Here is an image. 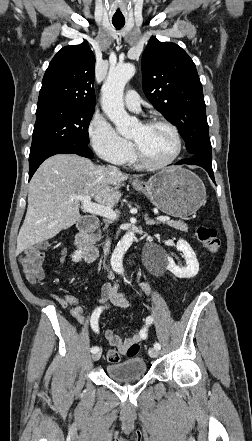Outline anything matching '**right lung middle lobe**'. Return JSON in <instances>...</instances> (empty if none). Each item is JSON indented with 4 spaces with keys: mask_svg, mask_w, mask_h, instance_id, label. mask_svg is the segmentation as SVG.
<instances>
[{
    "mask_svg": "<svg viewBox=\"0 0 252 441\" xmlns=\"http://www.w3.org/2000/svg\"><path fill=\"white\" fill-rule=\"evenodd\" d=\"M94 108L49 105L38 107L30 155L59 144L88 145Z\"/></svg>",
    "mask_w": 252,
    "mask_h": 441,
    "instance_id": "right-lung-middle-lobe-1",
    "label": "right lung middle lobe"
}]
</instances>
